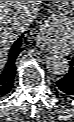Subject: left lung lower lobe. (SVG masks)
I'll list each match as a JSON object with an SVG mask.
<instances>
[{
    "instance_id": "left-lung-lower-lobe-1",
    "label": "left lung lower lobe",
    "mask_w": 74,
    "mask_h": 122,
    "mask_svg": "<svg viewBox=\"0 0 74 122\" xmlns=\"http://www.w3.org/2000/svg\"><path fill=\"white\" fill-rule=\"evenodd\" d=\"M56 90L67 96H74V57L70 62L69 73L56 82Z\"/></svg>"
}]
</instances>
